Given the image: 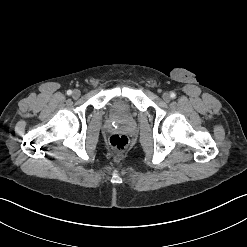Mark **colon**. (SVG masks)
<instances>
[{
    "mask_svg": "<svg viewBox=\"0 0 247 247\" xmlns=\"http://www.w3.org/2000/svg\"><path fill=\"white\" fill-rule=\"evenodd\" d=\"M108 143L114 150L121 152L128 146L129 139L123 134H113L109 137Z\"/></svg>",
    "mask_w": 247,
    "mask_h": 247,
    "instance_id": "5ec220e1",
    "label": "colon"
}]
</instances>
